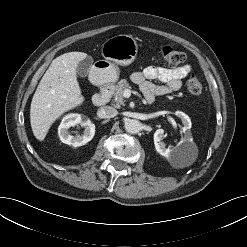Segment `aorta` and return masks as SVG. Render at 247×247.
I'll return each mask as SVG.
<instances>
[{"instance_id": "obj_1", "label": "aorta", "mask_w": 247, "mask_h": 247, "mask_svg": "<svg viewBox=\"0 0 247 247\" xmlns=\"http://www.w3.org/2000/svg\"><path fill=\"white\" fill-rule=\"evenodd\" d=\"M125 130L130 134H137L142 129V124L136 119H128L124 124Z\"/></svg>"}]
</instances>
